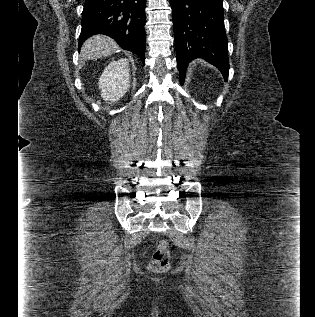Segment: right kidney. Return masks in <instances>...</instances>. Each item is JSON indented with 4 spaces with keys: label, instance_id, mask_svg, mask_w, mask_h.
I'll list each match as a JSON object with an SVG mask.
<instances>
[{
    "label": "right kidney",
    "instance_id": "right-kidney-1",
    "mask_svg": "<svg viewBox=\"0 0 315 317\" xmlns=\"http://www.w3.org/2000/svg\"><path fill=\"white\" fill-rule=\"evenodd\" d=\"M129 72V61L126 58L108 64L98 83L104 101L114 103L125 95L130 87Z\"/></svg>",
    "mask_w": 315,
    "mask_h": 317
}]
</instances>
